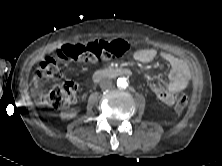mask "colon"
<instances>
[{"mask_svg": "<svg viewBox=\"0 0 222 166\" xmlns=\"http://www.w3.org/2000/svg\"><path fill=\"white\" fill-rule=\"evenodd\" d=\"M130 44L124 40H97L90 43L67 44L61 47L57 56L59 59L68 61L96 62L108 60L126 54ZM37 76L43 80H56L61 78L62 71L58 61L54 57H45L39 66ZM78 86L74 81H65L54 86L50 91L40 97L42 106L60 110L75 101ZM188 103V96L181 93L176 98L175 108L181 111Z\"/></svg>", "mask_w": 222, "mask_h": 166, "instance_id": "1", "label": "colon"}]
</instances>
